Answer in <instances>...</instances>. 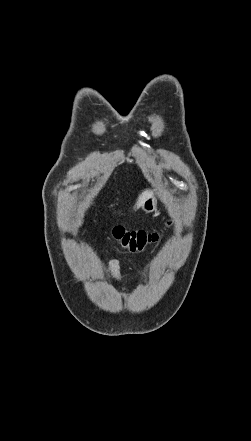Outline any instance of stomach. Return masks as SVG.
Instances as JSON below:
<instances>
[{
	"mask_svg": "<svg viewBox=\"0 0 251 441\" xmlns=\"http://www.w3.org/2000/svg\"><path fill=\"white\" fill-rule=\"evenodd\" d=\"M141 209L146 213H152L157 209V198L154 195L149 196L141 204Z\"/></svg>",
	"mask_w": 251,
	"mask_h": 441,
	"instance_id": "0dacf381",
	"label": "stomach"
}]
</instances>
